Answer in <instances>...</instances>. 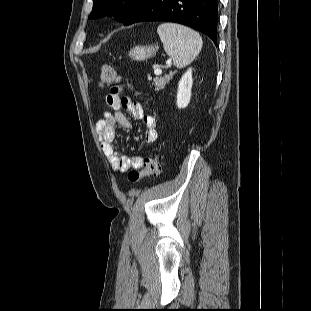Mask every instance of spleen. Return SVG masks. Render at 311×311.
<instances>
[{
  "label": "spleen",
  "instance_id": "3e777b00",
  "mask_svg": "<svg viewBox=\"0 0 311 311\" xmlns=\"http://www.w3.org/2000/svg\"><path fill=\"white\" fill-rule=\"evenodd\" d=\"M157 33L165 52L177 68L190 64L201 51L203 42L199 33L175 23H163Z\"/></svg>",
  "mask_w": 311,
  "mask_h": 311
}]
</instances>
